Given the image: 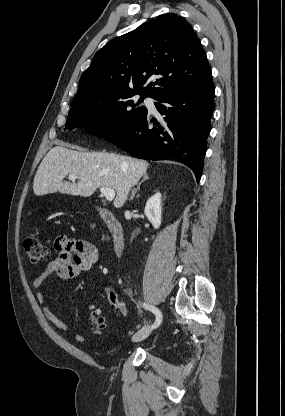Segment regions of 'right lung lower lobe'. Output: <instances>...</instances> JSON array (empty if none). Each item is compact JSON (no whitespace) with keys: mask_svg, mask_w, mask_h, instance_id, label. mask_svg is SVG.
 <instances>
[{"mask_svg":"<svg viewBox=\"0 0 285 416\" xmlns=\"http://www.w3.org/2000/svg\"><path fill=\"white\" fill-rule=\"evenodd\" d=\"M214 93L212 76L173 91L158 100L162 103H155L161 115L166 116L162 125L146 115L107 140L137 158L181 162L194 172L199 182L214 110ZM149 122L157 127L149 128Z\"/></svg>","mask_w":285,"mask_h":416,"instance_id":"1","label":"right lung lower lobe"}]
</instances>
